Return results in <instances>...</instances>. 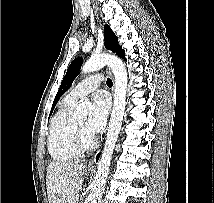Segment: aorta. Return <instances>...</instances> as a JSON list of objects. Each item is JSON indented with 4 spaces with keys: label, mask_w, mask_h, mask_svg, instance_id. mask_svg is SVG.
<instances>
[{
    "label": "aorta",
    "mask_w": 214,
    "mask_h": 203,
    "mask_svg": "<svg viewBox=\"0 0 214 203\" xmlns=\"http://www.w3.org/2000/svg\"><path fill=\"white\" fill-rule=\"evenodd\" d=\"M105 65H107L112 70L115 77L114 105L109 122L105 146L98 162L94 186L90 195L91 203L101 202L102 192L109 173L113 150L121 130L126 106L128 78L125 64L120 58L108 54L92 56L83 65L81 71L83 73H91L98 71ZM86 115L87 108L86 105L82 103L79 104L73 111L72 118L74 120L84 119Z\"/></svg>",
    "instance_id": "aorta-1"
}]
</instances>
